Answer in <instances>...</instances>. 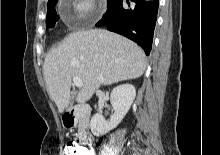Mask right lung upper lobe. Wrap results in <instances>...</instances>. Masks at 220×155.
<instances>
[{
	"instance_id": "1",
	"label": "right lung upper lobe",
	"mask_w": 220,
	"mask_h": 155,
	"mask_svg": "<svg viewBox=\"0 0 220 155\" xmlns=\"http://www.w3.org/2000/svg\"><path fill=\"white\" fill-rule=\"evenodd\" d=\"M53 1H54V0H49L48 3H51V2H53Z\"/></svg>"
}]
</instances>
